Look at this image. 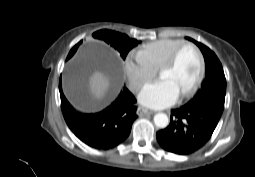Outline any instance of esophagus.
<instances>
[{
  "instance_id": "34e87169",
  "label": "esophagus",
  "mask_w": 255,
  "mask_h": 177,
  "mask_svg": "<svg viewBox=\"0 0 255 177\" xmlns=\"http://www.w3.org/2000/svg\"><path fill=\"white\" fill-rule=\"evenodd\" d=\"M153 113H154V111L151 109H148V108L138 107V109H137V115L140 117L151 115Z\"/></svg>"
}]
</instances>
